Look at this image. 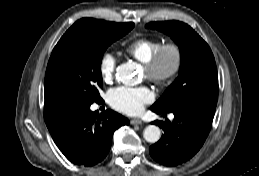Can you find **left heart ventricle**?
<instances>
[{
  "label": "left heart ventricle",
  "mask_w": 259,
  "mask_h": 176,
  "mask_svg": "<svg viewBox=\"0 0 259 176\" xmlns=\"http://www.w3.org/2000/svg\"><path fill=\"white\" fill-rule=\"evenodd\" d=\"M171 62H172V56L171 55H167V57L165 58V61H164V65L166 67H168V66H170ZM144 73L146 75V72H144Z\"/></svg>",
  "instance_id": "b2bd125f"
}]
</instances>
